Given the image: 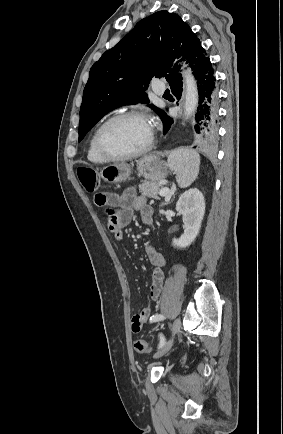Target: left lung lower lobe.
Wrapping results in <instances>:
<instances>
[{"mask_svg": "<svg viewBox=\"0 0 283 434\" xmlns=\"http://www.w3.org/2000/svg\"><path fill=\"white\" fill-rule=\"evenodd\" d=\"M198 84V107L195 115V142L204 148H213L218 139V110L219 97L217 82L210 59L207 58L193 71ZM172 93L180 99L182 94V82L171 87ZM173 123L172 118L167 116L164 121V133Z\"/></svg>", "mask_w": 283, "mask_h": 434, "instance_id": "1", "label": "left lung lower lobe"}]
</instances>
